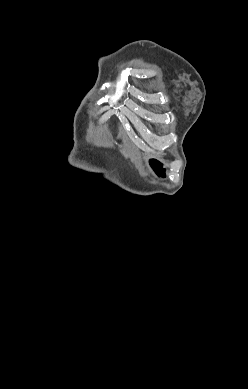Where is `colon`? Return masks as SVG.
Instances as JSON below:
<instances>
[{"label": "colon", "mask_w": 248, "mask_h": 389, "mask_svg": "<svg viewBox=\"0 0 248 389\" xmlns=\"http://www.w3.org/2000/svg\"><path fill=\"white\" fill-rule=\"evenodd\" d=\"M148 162L151 163V164H155L156 167L160 166V163L158 162V159L156 157L149 158Z\"/></svg>", "instance_id": "colon-1"}]
</instances>
